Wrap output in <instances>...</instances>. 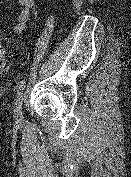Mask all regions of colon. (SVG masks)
Here are the masks:
<instances>
[{
  "label": "colon",
  "instance_id": "colon-1",
  "mask_svg": "<svg viewBox=\"0 0 131 177\" xmlns=\"http://www.w3.org/2000/svg\"><path fill=\"white\" fill-rule=\"evenodd\" d=\"M7 49L5 45L0 42V71H6L8 69V60H7Z\"/></svg>",
  "mask_w": 131,
  "mask_h": 177
}]
</instances>
